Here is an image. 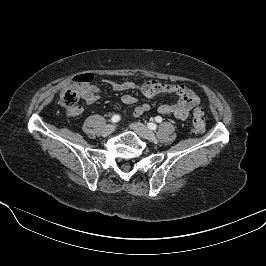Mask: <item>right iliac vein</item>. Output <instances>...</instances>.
I'll return each mask as SVG.
<instances>
[{"label":"right iliac vein","instance_id":"63e3f726","mask_svg":"<svg viewBox=\"0 0 266 266\" xmlns=\"http://www.w3.org/2000/svg\"><path fill=\"white\" fill-rule=\"evenodd\" d=\"M115 130V125L113 124H109L107 125L104 130H103V134L104 135H110L111 133H113Z\"/></svg>","mask_w":266,"mask_h":266}]
</instances>
